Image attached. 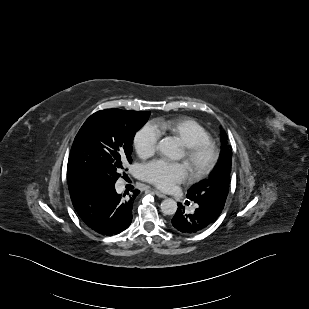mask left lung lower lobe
I'll use <instances>...</instances> for the list:
<instances>
[{
  "instance_id": "obj_1",
  "label": "left lung lower lobe",
  "mask_w": 309,
  "mask_h": 309,
  "mask_svg": "<svg viewBox=\"0 0 309 309\" xmlns=\"http://www.w3.org/2000/svg\"><path fill=\"white\" fill-rule=\"evenodd\" d=\"M195 203H197V207L190 214H188L182 204L179 203V208L172 218L173 227L182 234L191 235L207 229L218 219L223 210V208L212 204L202 202Z\"/></svg>"
}]
</instances>
